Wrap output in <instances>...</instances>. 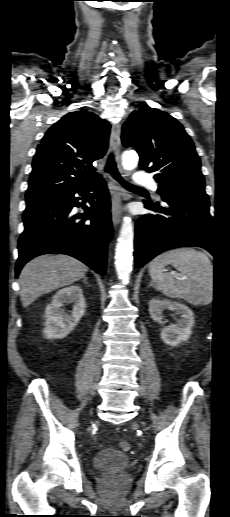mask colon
I'll list each match as a JSON object with an SVG mask.
<instances>
[{
    "label": "colon",
    "mask_w": 230,
    "mask_h": 517,
    "mask_svg": "<svg viewBox=\"0 0 230 517\" xmlns=\"http://www.w3.org/2000/svg\"><path fill=\"white\" fill-rule=\"evenodd\" d=\"M117 446L122 451H129L131 448L130 443L128 441H119Z\"/></svg>",
    "instance_id": "colon-1"
}]
</instances>
